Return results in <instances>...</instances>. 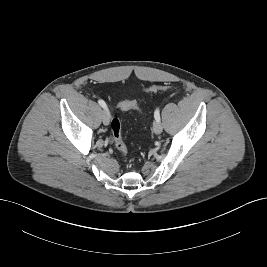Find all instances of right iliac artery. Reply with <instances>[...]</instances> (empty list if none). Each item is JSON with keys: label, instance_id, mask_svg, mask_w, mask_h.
I'll list each match as a JSON object with an SVG mask.
<instances>
[{"label": "right iliac artery", "instance_id": "82829eb1", "mask_svg": "<svg viewBox=\"0 0 267 267\" xmlns=\"http://www.w3.org/2000/svg\"><path fill=\"white\" fill-rule=\"evenodd\" d=\"M98 103H99V105L101 106V107H103L107 112H108V114H109V111H108V108H107V105H106V103L103 101V100H98Z\"/></svg>", "mask_w": 267, "mask_h": 267}]
</instances>
